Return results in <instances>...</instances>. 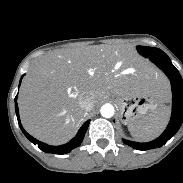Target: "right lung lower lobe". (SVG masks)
Returning <instances> with one entry per match:
<instances>
[{
    "label": "right lung lower lobe",
    "instance_id": "obj_1",
    "mask_svg": "<svg viewBox=\"0 0 183 183\" xmlns=\"http://www.w3.org/2000/svg\"><path fill=\"white\" fill-rule=\"evenodd\" d=\"M23 77V76H22ZM22 80V78H21ZM20 80V83H21ZM15 110H16V115H17V119H18V124L20 126V129L22 130V132L24 133V135L35 145H37L42 151H44L45 153H52V154H66L69 153L72 149L78 147L84 138V135L87 131V128L89 126V122L90 120L86 121L82 127L79 129L77 135L68 143L60 145V146H51L48 144H45L43 142H40L38 140H36L34 137H32L31 135H29L24 128L22 127V124L20 122V118H19V110H18V104H17V96L15 98Z\"/></svg>",
    "mask_w": 183,
    "mask_h": 183
}]
</instances>
